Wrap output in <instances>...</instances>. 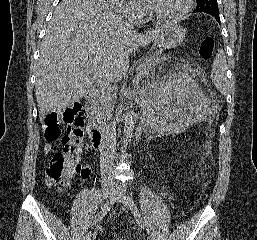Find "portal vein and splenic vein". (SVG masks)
Segmentation results:
<instances>
[{
  "mask_svg": "<svg viewBox=\"0 0 257 240\" xmlns=\"http://www.w3.org/2000/svg\"><path fill=\"white\" fill-rule=\"evenodd\" d=\"M133 82H134V83H137V82H139V79H137V77H135V79L133 80ZM99 83H100V85H101L102 87H104V88H109V85H108L106 82L100 81Z\"/></svg>",
  "mask_w": 257,
  "mask_h": 240,
  "instance_id": "portal-vein-and-splenic-vein-1",
  "label": "portal vein and splenic vein"
}]
</instances>
